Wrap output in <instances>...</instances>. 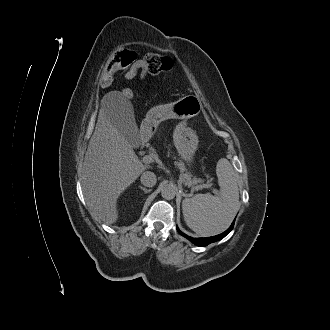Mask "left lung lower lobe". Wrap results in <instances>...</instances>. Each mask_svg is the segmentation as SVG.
<instances>
[{
  "label": "left lung lower lobe",
  "mask_w": 330,
  "mask_h": 330,
  "mask_svg": "<svg viewBox=\"0 0 330 330\" xmlns=\"http://www.w3.org/2000/svg\"><path fill=\"white\" fill-rule=\"evenodd\" d=\"M235 220L233 221V223L231 224V226L223 233L213 236V237H207V238H192L190 236H187L186 234L182 233L179 228L177 227L178 232L184 236L185 238H187L188 240H190L192 243H194L195 245H198L200 247L203 246H207L210 243L216 242L221 240L222 238H224L227 234H229L231 232V230L233 229Z\"/></svg>",
  "instance_id": "1"
}]
</instances>
